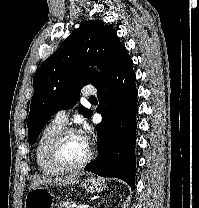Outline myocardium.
<instances>
[{
	"instance_id": "f54148a6",
	"label": "myocardium",
	"mask_w": 199,
	"mask_h": 208,
	"mask_svg": "<svg viewBox=\"0 0 199 208\" xmlns=\"http://www.w3.org/2000/svg\"><path fill=\"white\" fill-rule=\"evenodd\" d=\"M79 133L77 129L73 127H65L62 130H60L53 140L51 141L48 149V157L51 162V164L59 169L62 172H72L77 171L85 167L93 158L94 150L93 148L88 145V153L86 157L76 164H67L61 157L60 150L61 145L64 142V140L71 134Z\"/></svg>"
}]
</instances>
